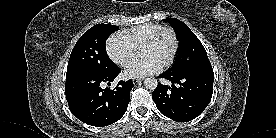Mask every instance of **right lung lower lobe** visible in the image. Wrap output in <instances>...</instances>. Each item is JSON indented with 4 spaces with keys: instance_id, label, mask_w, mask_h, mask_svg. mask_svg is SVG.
<instances>
[{
    "instance_id": "1",
    "label": "right lung lower lobe",
    "mask_w": 276,
    "mask_h": 138,
    "mask_svg": "<svg viewBox=\"0 0 276 138\" xmlns=\"http://www.w3.org/2000/svg\"><path fill=\"white\" fill-rule=\"evenodd\" d=\"M121 72L117 66L107 73H84L66 78L65 95L71 112L82 122L104 127L118 121L126 112L133 82L119 81L110 90L101 85L110 82Z\"/></svg>"
}]
</instances>
